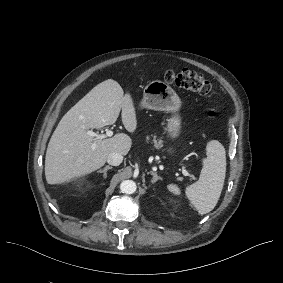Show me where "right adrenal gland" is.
Wrapping results in <instances>:
<instances>
[{"label":"right adrenal gland","mask_w":283,"mask_h":283,"mask_svg":"<svg viewBox=\"0 0 283 283\" xmlns=\"http://www.w3.org/2000/svg\"><path fill=\"white\" fill-rule=\"evenodd\" d=\"M112 168V166H106L103 170H98L97 173H103V178H107V171Z\"/></svg>","instance_id":"1"}]
</instances>
